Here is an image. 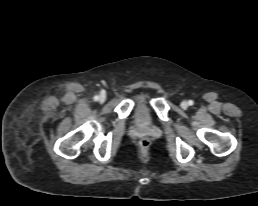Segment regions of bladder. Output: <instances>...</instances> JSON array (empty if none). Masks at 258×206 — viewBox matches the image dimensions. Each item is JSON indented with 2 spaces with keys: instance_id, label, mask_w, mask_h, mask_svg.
<instances>
[{
  "instance_id": "31cf9c89",
  "label": "bladder",
  "mask_w": 258,
  "mask_h": 206,
  "mask_svg": "<svg viewBox=\"0 0 258 206\" xmlns=\"http://www.w3.org/2000/svg\"><path fill=\"white\" fill-rule=\"evenodd\" d=\"M149 99L150 96L146 92H141L136 96L134 118L140 124H145L149 120Z\"/></svg>"
}]
</instances>
